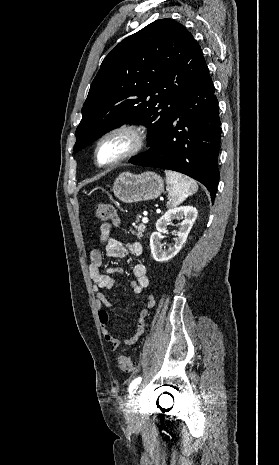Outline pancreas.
Returning a JSON list of instances; mask_svg holds the SVG:
<instances>
[{
    "label": "pancreas",
    "mask_w": 279,
    "mask_h": 465,
    "mask_svg": "<svg viewBox=\"0 0 279 465\" xmlns=\"http://www.w3.org/2000/svg\"><path fill=\"white\" fill-rule=\"evenodd\" d=\"M146 230V225L140 224L135 226V230H131L132 234L136 235L138 239L143 237V233Z\"/></svg>",
    "instance_id": "pancreas-1"
}]
</instances>
